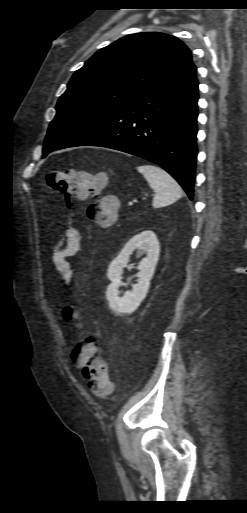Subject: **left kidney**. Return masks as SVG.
<instances>
[{
	"label": "left kidney",
	"instance_id": "left-kidney-1",
	"mask_svg": "<svg viewBox=\"0 0 247 513\" xmlns=\"http://www.w3.org/2000/svg\"><path fill=\"white\" fill-rule=\"evenodd\" d=\"M136 249L147 253L138 265V283L131 291H126L120 297L119 287L123 268L127 266L130 255ZM160 255V244L154 232L146 230L131 238L122 248L118 256L111 262L108 269V278L111 284L106 291L109 309L116 315L132 314L146 297L150 288V281L154 275L155 267Z\"/></svg>",
	"mask_w": 247,
	"mask_h": 513
}]
</instances>
